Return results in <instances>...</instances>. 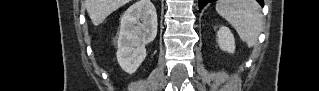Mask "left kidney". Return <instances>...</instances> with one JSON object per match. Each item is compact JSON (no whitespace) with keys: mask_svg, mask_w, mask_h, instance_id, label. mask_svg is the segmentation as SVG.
Here are the masks:
<instances>
[{"mask_svg":"<svg viewBox=\"0 0 319 91\" xmlns=\"http://www.w3.org/2000/svg\"><path fill=\"white\" fill-rule=\"evenodd\" d=\"M218 45L221 50L228 53L235 51V39L230 29L226 26H221L217 33Z\"/></svg>","mask_w":319,"mask_h":91,"instance_id":"obj_1","label":"left kidney"}]
</instances>
